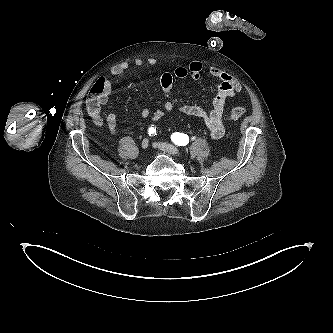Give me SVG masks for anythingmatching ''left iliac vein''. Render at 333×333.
Listing matches in <instances>:
<instances>
[{
    "label": "left iliac vein",
    "instance_id": "1",
    "mask_svg": "<svg viewBox=\"0 0 333 333\" xmlns=\"http://www.w3.org/2000/svg\"><path fill=\"white\" fill-rule=\"evenodd\" d=\"M157 146L160 150H162L163 152L168 153L170 155L178 156V157H180L182 155L180 150L171 144L161 142V143H158Z\"/></svg>",
    "mask_w": 333,
    "mask_h": 333
}]
</instances>
